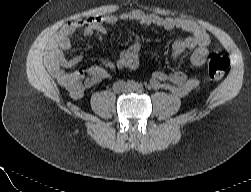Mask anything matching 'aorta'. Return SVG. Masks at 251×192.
Listing matches in <instances>:
<instances>
[{
	"mask_svg": "<svg viewBox=\"0 0 251 192\" xmlns=\"http://www.w3.org/2000/svg\"><path fill=\"white\" fill-rule=\"evenodd\" d=\"M141 89H142V87H141V86L136 88V90H141Z\"/></svg>",
	"mask_w": 251,
	"mask_h": 192,
	"instance_id": "obj_1",
	"label": "aorta"
}]
</instances>
